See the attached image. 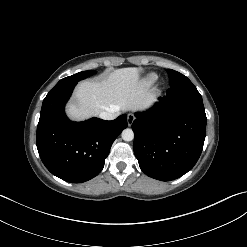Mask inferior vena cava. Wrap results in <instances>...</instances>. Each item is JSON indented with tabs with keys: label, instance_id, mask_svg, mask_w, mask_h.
I'll use <instances>...</instances> for the list:
<instances>
[{
	"label": "inferior vena cava",
	"instance_id": "1",
	"mask_svg": "<svg viewBox=\"0 0 247 247\" xmlns=\"http://www.w3.org/2000/svg\"><path fill=\"white\" fill-rule=\"evenodd\" d=\"M118 116V111H103L99 114V118L103 120H114Z\"/></svg>",
	"mask_w": 247,
	"mask_h": 247
}]
</instances>
